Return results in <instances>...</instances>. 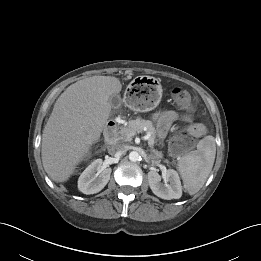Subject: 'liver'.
Segmentation results:
<instances>
[{
    "instance_id": "liver-1",
    "label": "liver",
    "mask_w": 261,
    "mask_h": 261,
    "mask_svg": "<svg viewBox=\"0 0 261 261\" xmlns=\"http://www.w3.org/2000/svg\"><path fill=\"white\" fill-rule=\"evenodd\" d=\"M118 78L93 76L70 85L56 100L43 129V167L55 182H65L102 133L110 113L109 99L119 94Z\"/></svg>"
}]
</instances>
